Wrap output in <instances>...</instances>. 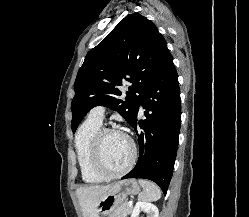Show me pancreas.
Returning <instances> with one entry per match:
<instances>
[{
	"label": "pancreas",
	"mask_w": 249,
	"mask_h": 217,
	"mask_svg": "<svg viewBox=\"0 0 249 217\" xmlns=\"http://www.w3.org/2000/svg\"><path fill=\"white\" fill-rule=\"evenodd\" d=\"M133 206H128L127 202L118 206L109 217H127L132 212Z\"/></svg>",
	"instance_id": "cf45deb5"
}]
</instances>
